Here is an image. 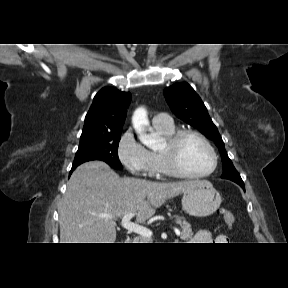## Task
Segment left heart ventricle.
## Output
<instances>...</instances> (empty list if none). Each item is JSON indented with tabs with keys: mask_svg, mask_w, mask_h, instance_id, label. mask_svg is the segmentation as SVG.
Returning a JSON list of instances; mask_svg holds the SVG:
<instances>
[{
	"mask_svg": "<svg viewBox=\"0 0 288 288\" xmlns=\"http://www.w3.org/2000/svg\"><path fill=\"white\" fill-rule=\"evenodd\" d=\"M179 160L183 168L193 174L205 173L213 166L211 152L195 137L183 140L179 149Z\"/></svg>",
	"mask_w": 288,
	"mask_h": 288,
	"instance_id": "1",
	"label": "left heart ventricle"
}]
</instances>
